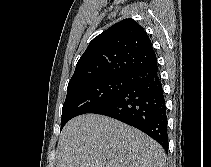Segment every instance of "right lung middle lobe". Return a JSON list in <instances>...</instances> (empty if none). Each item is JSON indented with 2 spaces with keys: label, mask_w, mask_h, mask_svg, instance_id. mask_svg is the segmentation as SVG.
Masks as SVG:
<instances>
[{
  "label": "right lung middle lobe",
  "mask_w": 211,
  "mask_h": 167,
  "mask_svg": "<svg viewBox=\"0 0 211 167\" xmlns=\"http://www.w3.org/2000/svg\"><path fill=\"white\" fill-rule=\"evenodd\" d=\"M127 87L126 76H108L67 89V96L62 108L61 129L73 117L93 113L108 104Z\"/></svg>",
  "instance_id": "right-lung-middle-lobe-1"
}]
</instances>
